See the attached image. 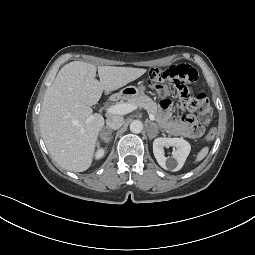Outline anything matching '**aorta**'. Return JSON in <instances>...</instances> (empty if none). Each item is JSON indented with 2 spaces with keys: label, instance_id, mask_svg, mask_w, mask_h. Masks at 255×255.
I'll return each instance as SVG.
<instances>
[{
  "label": "aorta",
  "instance_id": "1",
  "mask_svg": "<svg viewBox=\"0 0 255 255\" xmlns=\"http://www.w3.org/2000/svg\"><path fill=\"white\" fill-rule=\"evenodd\" d=\"M143 130V124L139 120H134L130 124V131L132 133H140Z\"/></svg>",
  "mask_w": 255,
  "mask_h": 255
}]
</instances>
